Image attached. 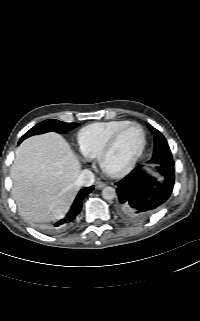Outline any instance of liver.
I'll use <instances>...</instances> for the list:
<instances>
[{
    "instance_id": "obj_1",
    "label": "liver",
    "mask_w": 200,
    "mask_h": 321,
    "mask_svg": "<svg viewBox=\"0 0 200 321\" xmlns=\"http://www.w3.org/2000/svg\"><path fill=\"white\" fill-rule=\"evenodd\" d=\"M80 163L56 133L30 137L16 150L11 167L12 196L22 217L31 222L60 219L79 186Z\"/></svg>"
}]
</instances>
